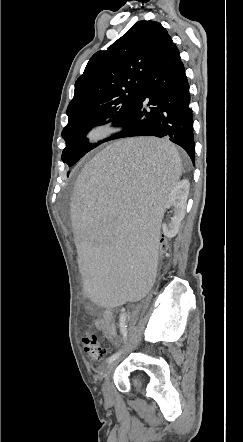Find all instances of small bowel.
Listing matches in <instances>:
<instances>
[{"label": "small bowel", "mask_w": 243, "mask_h": 442, "mask_svg": "<svg viewBox=\"0 0 243 442\" xmlns=\"http://www.w3.org/2000/svg\"><path fill=\"white\" fill-rule=\"evenodd\" d=\"M95 327L101 331L103 336L110 343H114L117 339V329L114 321V308L106 309L101 317H98L94 323Z\"/></svg>", "instance_id": "obj_1"}]
</instances>
